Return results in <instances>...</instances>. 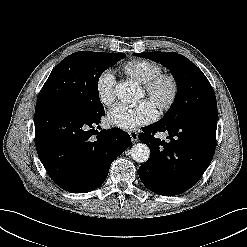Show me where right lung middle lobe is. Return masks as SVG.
Returning a JSON list of instances; mask_svg holds the SVG:
<instances>
[{
	"mask_svg": "<svg viewBox=\"0 0 247 247\" xmlns=\"http://www.w3.org/2000/svg\"><path fill=\"white\" fill-rule=\"evenodd\" d=\"M124 53L80 51L67 56L51 72L43 85L37 102L55 100L80 111L97 116L104 113L99 99L98 80Z\"/></svg>",
	"mask_w": 247,
	"mask_h": 247,
	"instance_id": "right-lung-middle-lobe-1",
	"label": "right lung middle lobe"
}]
</instances>
